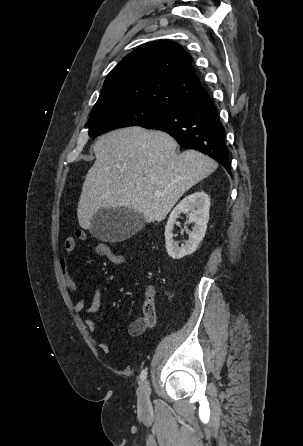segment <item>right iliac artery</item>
I'll return each instance as SVG.
<instances>
[{
    "mask_svg": "<svg viewBox=\"0 0 303 446\" xmlns=\"http://www.w3.org/2000/svg\"><path fill=\"white\" fill-rule=\"evenodd\" d=\"M147 377V371L146 370H142L141 374H140V378L142 381H144Z\"/></svg>",
    "mask_w": 303,
    "mask_h": 446,
    "instance_id": "1",
    "label": "right iliac artery"
}]
</instances>
